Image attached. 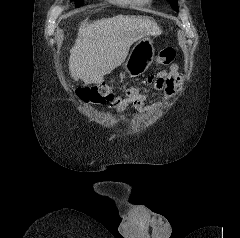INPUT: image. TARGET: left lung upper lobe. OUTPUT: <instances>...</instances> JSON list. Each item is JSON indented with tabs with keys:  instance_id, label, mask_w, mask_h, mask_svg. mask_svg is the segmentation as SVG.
I'll return each mask as SVG.
<instances>
[{
	"instance_id": "1",
	"label": "left lung upper lobe",
	"mask_w": 240,
	"mask_h": 238,
	"mask_svg": "<svg viewBox=\"0 0 240 238\" xmlns=\"http://www.w3.org/2000/svg\"><path fill=\"white\" fill-rule=\"evenodd\" d=\"M167 1H169L170 4H171V7H172L175 11H177V9H178V1H177V0H167Z\"/></svg>"
}]
</instances>
